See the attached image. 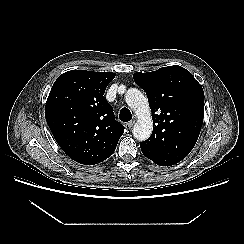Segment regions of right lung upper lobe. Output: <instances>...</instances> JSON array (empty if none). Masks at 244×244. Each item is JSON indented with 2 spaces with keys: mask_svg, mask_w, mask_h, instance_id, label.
I'll return each mask as SVG.
<instances>
[{
  "mask_svg": "<svg viewBox=\"0 0 244 244\" xmlns=\"http://www.w3.org/2000/svg\"><path fill=\"white\" fill-rule=\"evenodd\" d=\"M114 77L112 72L71 70L57 78L47 98L45 117L54 138L80 164L106 160L123 134L103 96Z\"/></svg>",
  "mask_w": 244,
  "mask_h": 244,
  "instance_id": "obj_1",
  "label": "right lung upper lobe"
}]
</instances>
